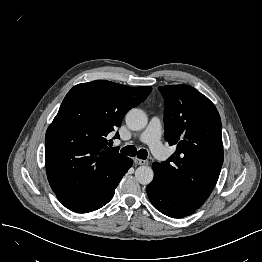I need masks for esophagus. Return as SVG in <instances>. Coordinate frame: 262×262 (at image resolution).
<instances>
[{"mask_svg":"<svg viewBox=\"0 0 262 262\" xmlns=\"http://www.w3.org/2000/svg\"><path fill=\"white\" fill-rule=\"evenodd\" d=\"M134 163L137 165H146L148 164V161L139 158H134Z\"/></svg>","mask_w":262,"mask_h":262,"instance_id":"1","label":"esophagus"}]
</instances>
